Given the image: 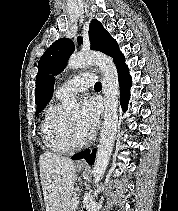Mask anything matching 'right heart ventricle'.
Returning a JSON list of instances; mask_svg holds the SVG:
<instances>
[{
  "label": "right heart ventricle",
  "mask_w": 178,
  "mask_h": 211,
  "mask_svg": "<svg viewBox=\"0 0 178 211\" xmlns=\"http://www.w3.org/2000/svg\"><path fill=\"white\" fill-rule=\"evenodd\" d=\"M56 96V100H61ZM54 101L46 110L41 124V137L46 148L53 153L62 154L70 152L65 141V120L60 106Z\"/></svg>",
  "instance_id": "e07e8e85"
}]
</instances>
